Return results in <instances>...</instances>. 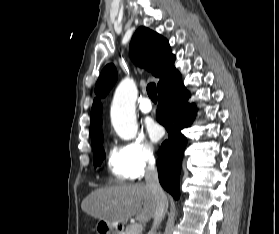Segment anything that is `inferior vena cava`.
Segmentation results:
<instances>
[{
	"instance_id": "1",
	"label": "inferior vena cava",
	"mask_w": 279,
	"mask_h": 234,
	"mask_svg": "<svg viewBox=\"0 0 279 234\" xmlns=\"http://www.w3.org/2000/svg\"><path fill=\"white\" fill-rule=\"evenodd\" d=\"M145 181H146V185L150 188L152 194L155 196V199L157 201L153 226L151 231L148 234H156V229L160 225L162 219L165 216L168 207V200L164 190L162 189L159 183L158 172H157L154 158L149 159L148 166L146 168V173H145Z\"/></svg>"
}]
</instances>
